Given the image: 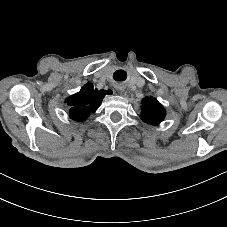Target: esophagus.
<instances>
[{
  "mask_svg": "<svg viewBox=\"0 0 227 227\" xmlns=\"http://www.w3.org/2000/svg\"><path fill=\"white\" fill-rule=\"evenodd\" d=\"M116 89H117V91L120 95L125 94V87L124 86H117Z\"/></svg>",
  "mask_w": 227,
  "mask_h": 227,
  "instance_id": "esophagus-1",
  "label": "esophagus"
}]
</instances>
